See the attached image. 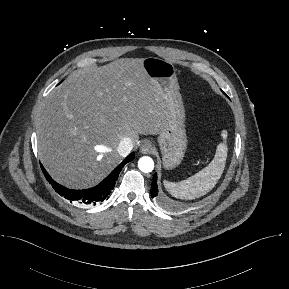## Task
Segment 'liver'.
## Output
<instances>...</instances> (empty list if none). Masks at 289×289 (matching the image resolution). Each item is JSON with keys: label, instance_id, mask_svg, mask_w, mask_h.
<instances>
[{"label": "liver", "instance_id": "6515ba94", "mask_svg": "<svg viewBox=\"0 0 289 289\" xmlns=\"http://www.w3.org/2000/svg\"><path fill=\"white\" fill-rule=\"evenodd\" d=\"M143 59L121 58L83 69L46 98L36 119L39 158L51 177L71 189L90 188L123 159L124 137L157 135L168 105Z\"/></svg>", "mask_w": 289, "mask_h": 289}]
</instances>
